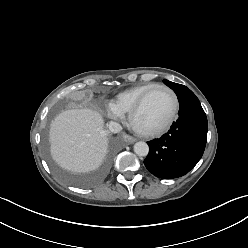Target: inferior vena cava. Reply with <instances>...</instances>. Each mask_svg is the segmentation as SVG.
Returning a JSON list of instances; mask_svg holds the SVG:
<instances>
[{
    "mask_svg": "<svg viewBox=\"0 0 248 248\" xmlns=\"http://www.w3.org/2000/svg\"><path fill=\"white\" fill-rule=\"evenodd\" d=\"M108 128L111 133H119L122 130V126L119 123L114 122V121H111L108 124Z\"/></svg>",
    "mask_w": 248,
    "mask_h": 248,
    "instance_id": "602c4592",
    "label": "inferior vena cava"
}]
</instances>
